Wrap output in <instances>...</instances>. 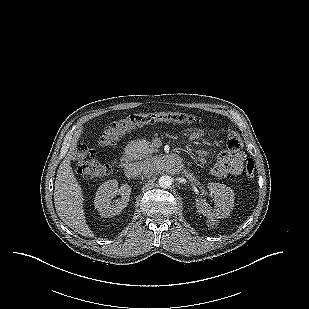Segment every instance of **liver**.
Masks as SVG:
<instances>
[{"label":"liver","instance_id":"1","mask_svg":"<svg viewBox=\"0 0 309 309\" xmlns=\"http://www.w3.org/2000/svg\"><path fill=\"white\" fill-rule=\"evenodd\" d=\"M82 130L79 129L71 143L70 152L57 171L54 190V205L60 219L82 236L93 238L94 234L86 223L83 209V194L70 165L71 153L77 146Z\"/></svg>","mask_w":309,"mask_h":309}]
</instances>
